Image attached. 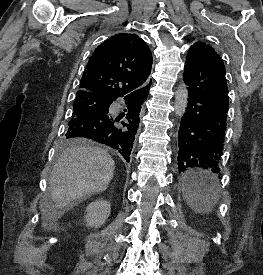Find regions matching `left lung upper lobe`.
Listing matches in <instances>:
<instances>
[{
  "label": "left lung upper lobe",
  "mask_w": 263,
  "mask_h": 275,
  "mask_svg": "<svg viewBox=\"0 0 263 275\" xmlns=\"http://www.w3.org/2000/svg\"><path fill=\"white\" fill-rule=\"evenodd\" d=\"M199 50L200 51L209 50V51H212V52L216 53L211 46L206 45L205 43H201V42H196L195 44H193L191 46V48L189 49L188 53L190 51H199Z\"/></svg>",
  "instance_id": "1"
}]
</instances>
